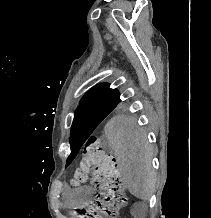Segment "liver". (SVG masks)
<instances>
[{
    "mask_svg": "<svg viewBox=\"0 0 211 218\" xmlns=\"http://www.w3.org/2000/svg\"><path fill=\"white\" fill-rule=\"evenodd\" d=\"M104 134L130 194L140 200H149L155 190L156 176L151 166L152 152L146 132L137 128L132 116L122 114L107 122Z\"/></svg>",
    "mask_w": 211,
    "mask_h": 218,
    "instance_id": "1",
    "label": "liver"
}]
</instances>
